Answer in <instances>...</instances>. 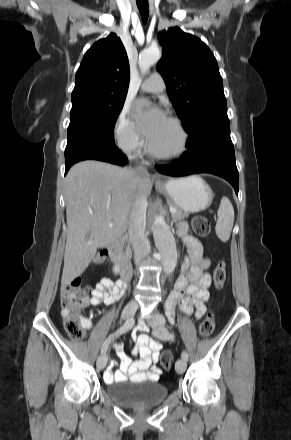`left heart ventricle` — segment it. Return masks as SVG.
<instances>
[{
	"mask_svg": "<svg viewBox=\"0 0 291 440\" xmlns=\"http://www.w3.org/2000/svg\"><path fill=\"white\" fill-rule=\"evenodd\" d=\"M148 141L155 149L164 153L174 152L179 147V135L173 124L166 118L157 126Z\"/></svg>",
	"mask_w": 291,
	"mask_h": 440,
	"instance_id": "b2bd125f",
	"label": "left heart ventricle"
}]
</instances>
